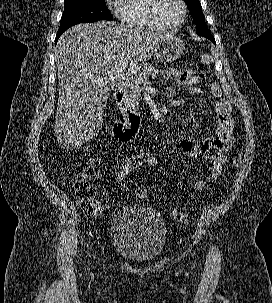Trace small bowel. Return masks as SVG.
<instances>
[{
  "mask_svg": "<svg viewBox=\"0 0 272 303\" xmlns=\"http://www.w3.org/2000/svg\"><path fill=\"white\" fill-rule=\"evenodd\" d=\"M164 78L181 85L192 86L204 79V75L197 71L168 68L164 71ZM209 90L212 96L218 99L214 107L216 117L214 136L205 139L175 138L163 145V148L176 147L191 157L202 156L209 161L208 175L192 183V188L195 190L204 189L209 183L215 182L220 177L230 148L235 142L234 120L230 104L223 97L222 90L217 83L212 82Z\"/></svg>",
  "mask_w": 272,
  "mask_h": 303,
  "instance_id": "c3829d8e",
  "label": "small bowel"
}]
</instances>
